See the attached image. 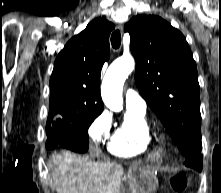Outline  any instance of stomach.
<instances>
[{"instance_id":"1","label":"stomach","mask_w":221,"mask_h":193,"mask_svg":"<svg viewBox=\"0 0 221 193\" xmlns=\"http://www.w3.org/2000/svg\"><path fill=\"white\" fill-rule=\"evenodd\" d=\"M164 155V150H157V154H152V159H160ZM161 167V162H132L129 165L130 181L124 188V193H150L154 189L156 179L159 174H152L154 167Z\"/></svg>"}]
</instances>
